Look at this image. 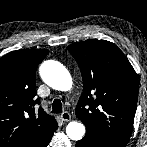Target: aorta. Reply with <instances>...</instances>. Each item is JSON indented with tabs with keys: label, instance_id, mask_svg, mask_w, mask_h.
<instances>
[{
	"label": "aorta",
	"instance_id": "762f6f07",
	"mask_svg": "<svg viewBox=\"0 0 147 147\" xmlns=\"http://www.w3.org/2000/svg\"><path fill=\"white\" fill-rule=\"evenodd\" d=\"M40 75L51 88L68 91L72 87V78L68 70L59 62L45 61L40 67ZM66 134L71 140H81L85 135V126L77 121L70 122L66 127Z\"/></svg>",
	"mask_w": 147,
	"mask_h": 147
}]
</instances>
